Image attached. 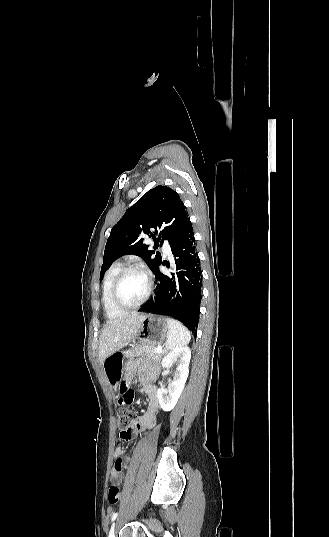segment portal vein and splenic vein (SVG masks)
<instances>
[{"mask_svg":"<svg viewBox=\"0 0 329 537\" xmlns=\"http://www.w3.org/2000/svg\"><path fill=\"white\" fill-rule=\"evenodd\" d=\"M156 352H157V353H160V352H162V347H160V346H159V347H157V348H156Z\"/></svg>","mask_w":329,"mask_h":537,"instance_id":"1","label":"portal vein and splenic vein"}]
</instances>
